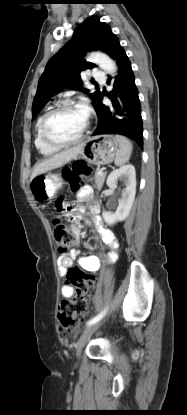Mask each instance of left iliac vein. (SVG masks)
Instances as JSON below:
<instances>
[{
	"label": "left iliac vein",
	"instance_id": "4c4485c4",
	"mask_svg": "<svg viewBox=\"0 0 187 415\" xmlns=\"http://www.w3.org/2000/svg\"><path fill=\"white\" fill-rule=\"evenodd\" d=\"M101 325H102V321H98L94 324H91L84 330V332L82 333V335L80 336L77 342L76 354L78 358H80L82 349L85 346L86 342L90 339L93 333L100 328Z\"/></svg>",
	"mask_w": 187,
	"mask_h": 415
}]
</instances>
